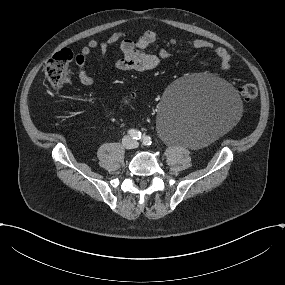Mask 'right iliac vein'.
<instances>
[{"label":"right iliac vein","instance_id":"right-iliac-vein-1","mask_svg":"<svg viewBox=\"0 0 285 285\" xmlns=\"http://www.w3.org/2000/svg\"><path fill=\"white\" fill-rule=\"evenodd\" d=\"M122 145L124 148L130 149L134 146V142L130 137L124 136L122 139Z\"/></svg>","mask_w":285,"mask_h":285}]
</instances>
